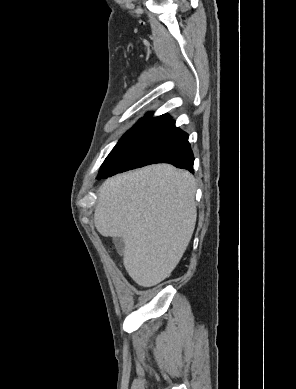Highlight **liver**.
Segmentation results:
<instances>
[{"mask_svg":"<svg viewBox=\"0 0 296 389\" xmlns=\"http://www.w3.org/2000/svg\"><path fill=\"white\" fill-rule=\"evenodd\" d=\"M195 192L194 177L169 164L117 175L100 187L95 227L123 239V264L138 285L159 284L179 263L196 224Z\"/></svg>","mask_w":296,"mask_h":389,"instance_id":"liver-1","label":"liver"}]
</instances>
